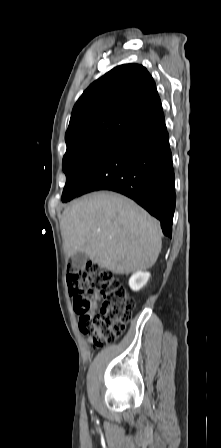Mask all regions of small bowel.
Returning a JSON list of instances; mask_svg holds the SVG:
<instances>
[{"label": "small bowel", "instance_id": "c3829d8e", "mask_svg": "<svg viewBox=\"0 0 221 448\" xmlns=\"http://www.w3.org/2000/svg\"><path fill=\"white\" fill-rule=\"evenodd\" d=\"M96 308H97V306H96V304H94V306H93L92 310H93V311H95V310H96Z\"/></svg>", "mask_w": 221, "mask_h": 448}]
</instances>
